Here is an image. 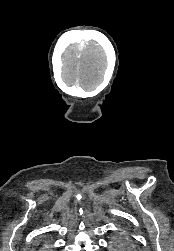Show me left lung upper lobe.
I'll return each instance as SVG.
<instances>
[{
  "label": "left lung upper lobe",
  "instance_id": "1",
  "mask_svg": "<svg viewBox=\"0 0 174 251\" xmlns=\"http://www.w3.org/2000/svg\"><path fill=\"white\" fill-rule=\"evenodd\" d=\"M118 244H119V248H121V249H127V245H126L125 239H122V241H120V243H118Z\"/></svg>",
  "mask_w": 174,
  "mask_h": 251
}]
</instances>
